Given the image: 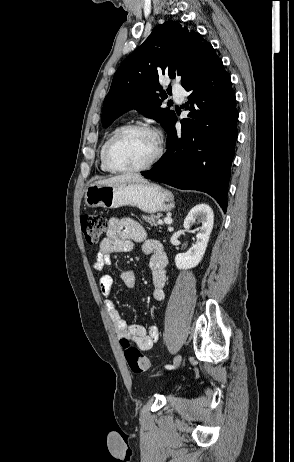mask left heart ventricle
I'll use <instances>...</instances> for the list:
<instances>
[{
    "mask_svg": "<svg viewBox=\"0 0 294 462\" xmlns=\"http://www.w3.org/2000/svg\"><path fill=\"white\" fill-rule=\"evenodd\" d=\"M156 151L155 137L146 131L132 130L122 135L111 150L112 163L121 168L145 164Z\"/></svg>",
    "mask_w": 294,
    "mask_h": 462,
    "instance_id": "b2bd125f",
    "label": "left heart ventricle"
}]
</instances>
